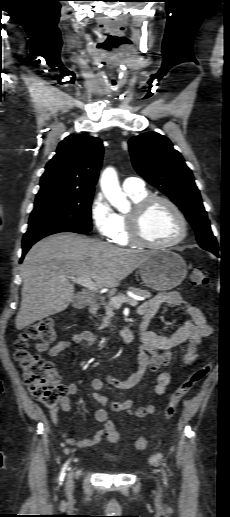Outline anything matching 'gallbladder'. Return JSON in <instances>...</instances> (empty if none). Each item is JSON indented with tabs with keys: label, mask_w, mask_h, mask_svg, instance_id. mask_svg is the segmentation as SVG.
<instances>
[{
	"label": "gallbladder",
	"mask_w": 230,
	"mask_h": 517,
	"mask_svg": "<svg viewBox=\"0 0 230 517\" xmlns=\"http://www.w3.org/2000/svg\"><path fill=\"white\" fill-rule=\"evenodd\" d=\"M72 303H73V306H74V307L80 308V307H83V306H85V305H86V300H85V299H84V297H82V295L79 293V294H77V295L74 297V299H73Z\"/></svg>",
	"instance_id": "1"
}]
</instances>
